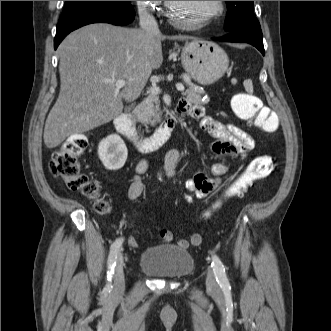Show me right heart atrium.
<instances>
[{
    "mask_svg": "<svg viewBox=\"0 0 331 331\" xmlns=\"http://www.w3.org/2000/svg\"><path fill=\"white\" fill-rule=\"evenodd\" d=\"M161 1H136L140 19H156L159 16Z\"/></svg>",
    "mask_w": 331,
    "mask_h": 331,
    "instance_id": "obj_1",
    "label": "right heart atrium"
}]
</instances>
